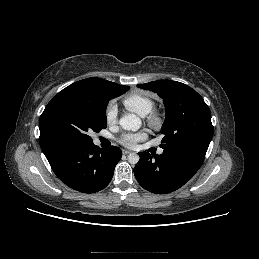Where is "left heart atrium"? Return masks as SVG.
<instances>
[{"mask_svg":"<svg viewBox=\"0 0 259 259\" xmlns=\"http://www.w3.org/2000/svg\"><path fill=\"white\" fill-rule=\"evenodd\" d=\"M145 137V132L125 133L120 137L119 141L122 145L132 148Z\"/></svg>","mask_w":259,"mask_h":259,"instance_id":"left-heart-atrium-1","label":"left heart atrium"}]
</instances>
